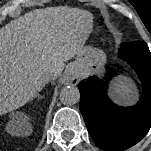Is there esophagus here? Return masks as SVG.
<instances>
[{
  "label": "esophagus",
  "mask_w": 151,
  "mask_h": 151,
  "mask_svg": "<svg viewBox=\"0 0 151 151\" xmlns=\"http://www.w3.org/2000/svg\"><path fill=\"white\" fill-rule=\"evenodd\" d=\"M80 82V76L75 71H69L62 79V83L65 85H77Z\"/></svg>",
  "instance_id": "esophagus-1"
}]
</instances>
